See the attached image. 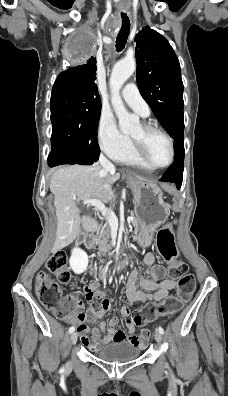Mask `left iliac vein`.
<instances>
[{"mask_svg": "<svg viewBox=\"0 0 228 396\" xmlns=\"http://www.w3.org/2000/svg\"><path fill=\"white\" fill-rule=\"evenodd\" d=\"M154 338L158 344L162 343V334L159 331L154 333Z\"/></svg>", "mask_w": 228, "mask_h": 396, "instance_id": "4c4485c4", "label": "left iliac vein"}]
</instances>
